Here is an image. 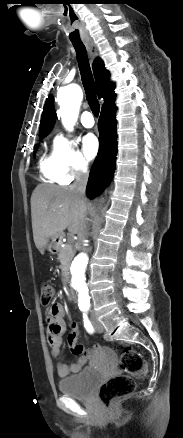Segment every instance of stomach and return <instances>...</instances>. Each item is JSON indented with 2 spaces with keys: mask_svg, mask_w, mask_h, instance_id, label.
Returning a JSON list of instances; mask_svg holds the SVG:
<instances>
[{
  "mask_svg": "<svg viewBox=\"0 0 183 438\" xmlns=\"http://www.w3.org/2000/svg\"><path fill=\"white\" fill-rule=\"evenodd\" d=\"M60 239H61V236L50 238L48 243H47L48 251H50L51 253L56 252L58 250Z\"/></svg>",
  "mask_w": 183,
  "mask_h": 438,
  "instance_id": "obj_1",
  "label": "stomach"
}]
</instances>
